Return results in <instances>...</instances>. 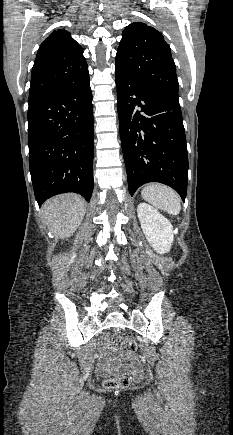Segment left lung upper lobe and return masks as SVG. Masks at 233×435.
I'll return each instance as SVG.
<instances>
[{
	"label": "left lung upper lobe",
	"mask_w": 233,
	"mask_h": 435,
	"mask_svg": "<svg viewBox=\"0 0 233 435\" xmlns=\"http://www.w3.org/2000/svg\"><path fill=\"white\" fill-rule=\"evenodd\" d=\"M115 66L144 89L178 99L179 83L170 47L153 27L134 22L124 29Z\"/></svg>",
	"instance_id": "1"
}]
</instances>
